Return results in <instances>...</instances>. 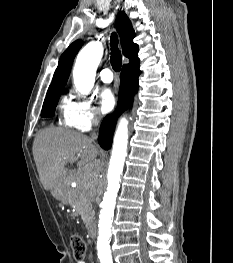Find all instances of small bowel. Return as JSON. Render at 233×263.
I'll return each mask as SVG.
<instances>
[{
  "label": "small bowel",
  "mask_w": 233,
  "mask_h": 263,
  "mask_svg": "<svg viewBox=\"0 0 233 263\" xmlns=\"http://www.w3.org/2000/svg\"><path fill=\"white\" fill-rule=\"evenodd\" d=\"M77 263H87L85 260L77 261Z\"/></svg>",
  "instance_id": "c3829d8e"
}]
</instances>
